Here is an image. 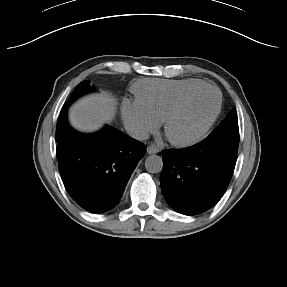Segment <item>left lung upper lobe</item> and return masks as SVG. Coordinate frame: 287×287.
Returning <instances> with one entry per match:
<instances>
[{"label": "left lung upper lobe", "instance_id": "left-lung-upper-lobe-1", "mask_svg": "<svg viewBox=\"0 0 287 287\" xmlns=\"http://www.w3.org/2000/svg\"><path fill=\"white\" fill-rule=\"evenodd\" d=\"M207 139L231 150H238L239 127L235 108H233L219 126L209 134Z\"/></svg>", "mask_w": 287, "mask_h": 287}]
</instances>
